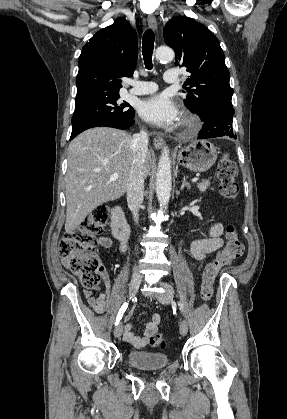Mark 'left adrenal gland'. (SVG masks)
Masks as SVG:
<instances>
[{
	"label": "left adrenal gland",
	"instance_id": "left-adrenal-gland-1",
	"mask_svg": "<svg viewBox=\"0 0 287 419\" xmlns=\"http://www.w3.org/2000/svg\"><path fill=\"white\" fill-rule=\"evenodd\" d=\"M185 187H187V189H190V184L186 181V178L184 176L180 190L182 191Z\"/></svg>",
	"mask_w": 287,
	"mask_h": 419
}]
</instances>
